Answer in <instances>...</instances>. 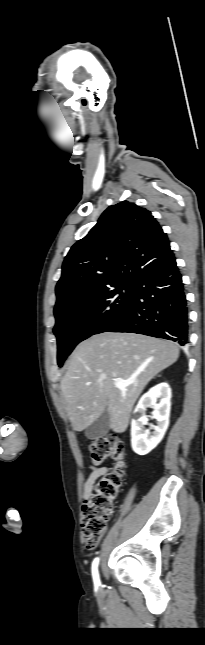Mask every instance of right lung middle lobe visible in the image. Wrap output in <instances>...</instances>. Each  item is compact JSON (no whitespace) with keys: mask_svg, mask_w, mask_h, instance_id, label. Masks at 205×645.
I'll use <instances>...</instances> for the list:
<instances>
[{"mask_svg":"<svg viewBox=\"0 0 205 645\" xmlns=\"http://www.w3.org/2000/svg\"><path fill=\"white\" fill-rule=\"evenodd\" d=\"M134 284L115 288L78 299L55 314L54 334L58 344V365L74 347L91 335L102 333L132 303Z\"/></svg>","mask_w":205,"mask_h":645,"instance_id":"obj_1","label":"right lung middle lobe"}]
</instances>
